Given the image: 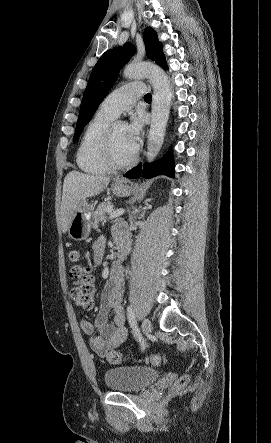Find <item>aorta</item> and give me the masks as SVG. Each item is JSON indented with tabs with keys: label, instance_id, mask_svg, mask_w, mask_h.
Masks as SVG:
<instances>
[{
	"label": "aorta",
	"instance_id": "762f6f07",
	"mask_svg": "<svg viewBox=\"0 0 271 443\" xmlns=\"http://www.w3.org/2000/svg\"><path fill=\"white\" fill-rule=\"evenodd\" d=\"M123 76L124 78H148L153 86L152 116L146 158L148 162H154L163 146L169 120L172 102L170 80L162 68L148 62L129 64Z\"/></svg>",
	"mask_w": 271,
	"mask_h": 443
}]
</instances>
